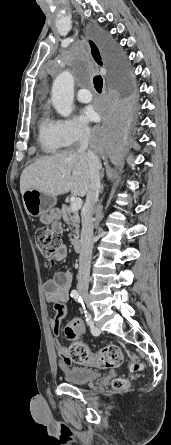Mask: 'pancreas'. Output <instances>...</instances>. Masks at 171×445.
Segmentation results:
<instances>
[{
    "label": "pancreas",
    "instance_id": "1",
    "mask_svg": "<svg viewBox=\"0 0 171 445\" xmlns=\"http://www.w3.org/2000/svg\"><path fill=\"white\" fill-rule=\"evenodd\" d=\"M62 218L63 220L70 224L74 230L73 235L70 234L69 237L73 236V238H70V241L72 243H75L79 238V228H80V218L77 211H72L70 207L67 205L62 206Z\"/></svg>",
    "mask_w": 171,
    "mask_h": 445
}]
</instances>
